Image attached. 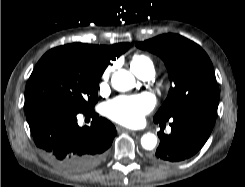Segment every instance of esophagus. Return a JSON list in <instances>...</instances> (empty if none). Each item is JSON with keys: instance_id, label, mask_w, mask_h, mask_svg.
Wrapping results in <instances>:
<instances>
[{"instance_id": "esophagus-1", "label": "esophagus", "mask_w": 245, "mask_h": 187, "mask_svg": "<svg viewBox=\"0 0 245 187\" xmlns=\"http://www.w3.org/2000/svg\"><path fill=\"white\" fill-rule=\"evenodd\" d=\"M118 130H119V131H123V132L133 133V134L139 132V131H134V130H130V129L122 128V127H119Z\"/></svg>"}]
</instances>
